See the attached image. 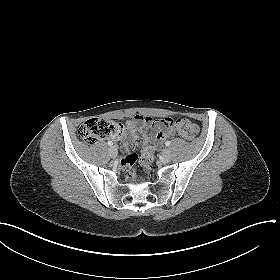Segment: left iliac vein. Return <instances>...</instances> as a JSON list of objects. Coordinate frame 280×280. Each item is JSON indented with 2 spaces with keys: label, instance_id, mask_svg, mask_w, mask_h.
I'll return each instance as SVG.
<instances>
[{
  "label": "left iliac vein",
  "instance_id": "4c4485c4",
  "mask_svg": "<svg viewBox=\"0 0 280 280\" xmlns=\"http://www.w3.org/2000/svg\"><path fill=\"white\" fill-rule=\"evenodd\" d=\"M162 156L165 161H167V162L170 161L172 158L171 150L168 148L164 149L162 152Z\"/></svg>",
  "mask_w": 280,
  "mask_h": 280
}]
</instances>
